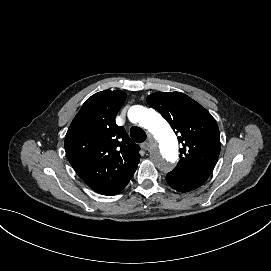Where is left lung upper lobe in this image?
I'll return each instance as SVG.
<instances>
[{"label":"left lung upper lobe","mask_w":271,"mask_h":271,"mask_svg":"<svg viewBox=\"0 0 271 271\" xmlns=\"http://www.w3.org/2000/svg\"><path fill=\"white\" fill-rule=\"evenodd\" d=\"M147 102L169 122L183 145L171 172L208 178L220 153L219 128L211 114L181 92H156Z\"/></svg>","instance_id":"obj_1"}]
</instances>
